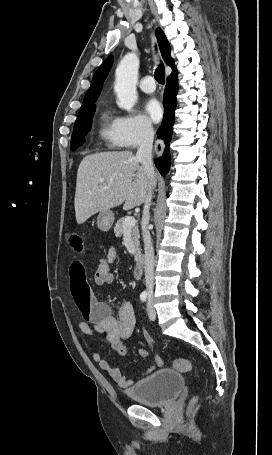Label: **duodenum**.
<instances>
[{
    "instance_id": "obj_1",
    "label": "duodenum",
    "mask_w": 272,
    "mask_h": 455,
    "mask_svg": "<svg viewBox=\"0 0 272 455\" xmlns=\"http://www.w3.org/2000/svg\"><path fill=\"white\" fill-rule=\"evenodd\" d=\"M143 268H144L143 255L138 254L137 257H136V263H135V268H134V277L136 279L141 278L142 273H143Z\"/></svg>"
}]
</instances>
